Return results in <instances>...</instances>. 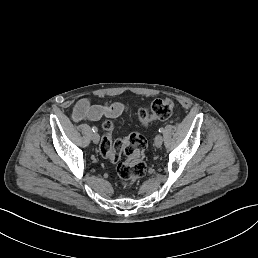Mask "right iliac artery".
<instances>
[{
    "mask_svg": "<svg viewBox=\"0 0 258 258\" xmlns=\"http://www.w3.org/2000/svg\"><path fill=\"white\" fill-rule=\"evenodd\" d=\"M92 131H93V132H97V131H98V130H97V127H96V126H93V127H92Z\"/></svg>",
    "mask_w": 258,
    "mask_h": 258,
    "instance_id": "right-iliac-artery-1",
    "label": "right iliac artery"
}]
</instances>
